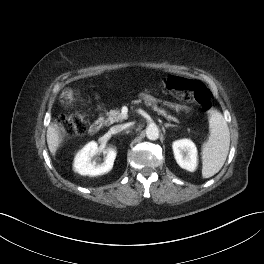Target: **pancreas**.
Segmentation results:
<instances>
[{
	"instance_id": "cf45deb5",
	"label": "pancreas",
	"mask_w": 264,
	"mask_h": 264,
	"mask_svg": "<svg viewBox=\"0 0 264 264\" xmlns=\"http://www.w3.org/2000/svg\"><path fill=\"white\" fill-rule=\"evenodd\" d=\"M135 103L139 104L141 103V101L139 100V101H136ZM145 105L148 107L151 106L154 111L164 116L168 120H173L174 122L179 123L178 119H176L175 117H172L171 115H168L164 109L159 108L155 103L151 101H145ZM107 116L108 118L105 120L104 124L111 125L121 117V111L119 109L110 110L107 113Z\"/></svg>"
}]
</instances>
